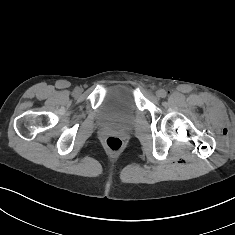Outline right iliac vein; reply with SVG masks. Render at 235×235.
I'll list each match as a JSON object with an SVG mask.
<instances>
[{
    "mask_svg": "<svg viewBox=\"0 0 235 235\" xmlns=\"http://www.w3.org/2000/svg\"><path fill=\"white\" fill-rule=\"evenodd\" d=\"M81 91H82V90H81V88H79V87H77V88L75 89V93H76V94H80Z\"/></svg>",
    "mask_w": 235,
    "mask_h": 235,
    "instance_id": "63e3f726",
    "label": "right iliac vein"
}]
</instances>
